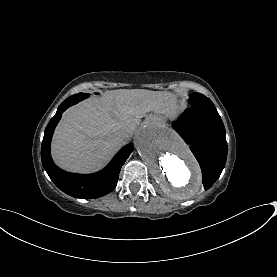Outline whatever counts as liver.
I'll use <instances>...</instances> for the list:
<instances>
[{"label": "liver", "instance_id": "liver-1", "mask_svg": "<svg viewBox=\"0 0 277 277\" xmlns=\"http://www.w3.org/2000/svg\"><path fill=\"white\" fill-rule=\"evenodd\" d=\"M167 92L108 91L69 109L54 137L55 160L63 168L89 171L105 163L124 144L117 130H133L150 112L174 116Z\"/></svg>", "mask_w": 277, "mask_h": 277}]
</instances>
